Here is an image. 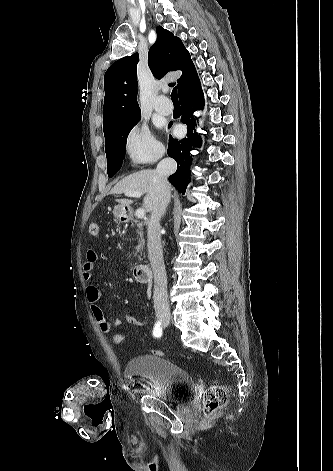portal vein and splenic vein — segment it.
Wrapping results in <instances>:
<instances>
[{"label":"portal vein and splenic vein","mask_w":333,"mask_h":471,"mask_svg":"<svg viewBox=\"0 0 333 471\" xmlns=\"http://www.w3.org/2000/svg\"><path fill=\"white\" fill-rule=\"evenodd\" d=\"M125 195L128 197H141L142 194L137 191H132V192L125 193ZM135 215L137 218H144L145 210L143 208H139L136 210Z\"/></svg>","instance_id":"obj_1"}]
</instances>
